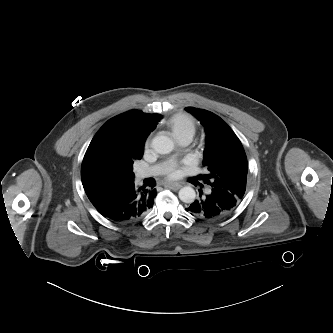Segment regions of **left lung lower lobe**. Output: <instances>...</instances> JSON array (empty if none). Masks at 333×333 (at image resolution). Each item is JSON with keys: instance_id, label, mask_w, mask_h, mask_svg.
Segmentation results:
<instances>
[{"instance_id": "0a47b994", "label": "left lung lower lobe", "mask_w": 333, "mask_h": 333, "mask_svg": "<svg viewBox=\"0 0 333 333\" xmlns=\"http://www.w3.org/2000/svg\"><path fill=\"white\" fill-rule=\"evenodd\" d=\"M238 204L229 191L211 187L205 196L200 192V199L195 200L187 211L201 219L214 221L228 215Z\"/></svg>"}]
</instances>
